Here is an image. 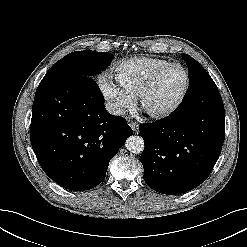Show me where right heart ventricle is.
Segmentation results:
<instances>
[{
  "mask_svg": "<svg viewBox=\"0 0 247 247\" xmlns=\"http://www.w3.org/2000/svg\"><path fill=\"white\" fill-rule=\"evenodd\" d=\"M169 63L160 58L132 57L114 67V77L120 88L130 97H134L140 86L155 70Z\"/></svg>",
  "mask_w": 247,
  "mask_h": 247,
  "instance_id": "1",
  "label": "right heart ventricle"
}]
</instances>
